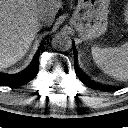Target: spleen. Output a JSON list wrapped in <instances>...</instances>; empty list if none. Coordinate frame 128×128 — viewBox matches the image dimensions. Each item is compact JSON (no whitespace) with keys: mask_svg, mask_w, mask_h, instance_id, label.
<instances>
[{"mask_svg":"<svg viewBox=\"0 0 128 128\" xmlns=\"http://www.w3.org/2000/svg\"><path fill=\"white\" fill-rule=\"evenodd\" d=\"M96 65L105 74L120 81L128 80V42L117 48L92 47Z\"/></svg>","mask_w":128,"mask_h":128,"instance_id":"obj_1","label":"spleen"}]
</instances>
